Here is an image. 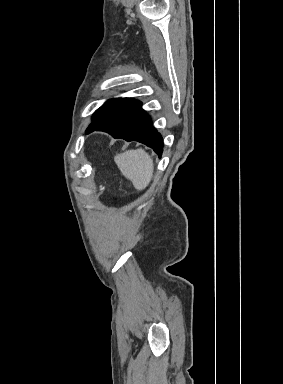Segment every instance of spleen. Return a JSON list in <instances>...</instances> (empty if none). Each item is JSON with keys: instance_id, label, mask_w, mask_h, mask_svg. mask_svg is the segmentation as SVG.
Listing matches in <instances>:
<instances>
[{"instance_id": "1", "label": "spleen", "mask_w": 283, "mask_h": 384, "mask_svg": "<svg viewBox=\"0 0 283 384\" xmlns=\"http://www.w3.org/2000/svg\"><path fill=\"white\" fill-rule=\"evenodd\" d=\"M123 176L131 180L136 190H145L151 182L153 174V160L142 148L126 150L114 158Z\"/></svg>"}]
</instances>
